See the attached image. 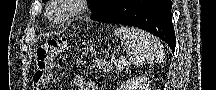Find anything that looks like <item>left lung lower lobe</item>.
<instances>
[{
  "label": "left lung lower lobe",
  "instance_id": "obj_1",
  "mask_svg": "<svg viewBox=\"0 0 216 90\" xmlns=\"http://www.w3.org/2000/svg\"><path fill=\"white\" fill-rule=\"evenodd\" d=\"M170 0H122L92 20L136 26L158 36L175 50Z\"/></svg>",
  "mask_w": 216,
  "mask_h": 90
}]
</instances>
